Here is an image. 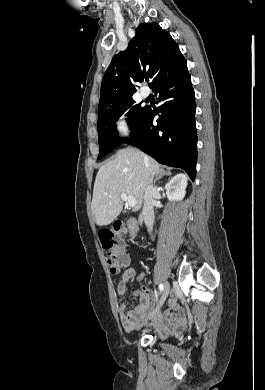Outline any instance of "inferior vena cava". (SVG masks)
<instances>
[{"label":"inferior vena cava","instance_id":"obj_1","mask_svg":"<svg viewBox=\"0 0 265 390\" xmlns=\"http://www.w3.org/2000/svg\"><path fill=\"white\" fill-rule=\"evenodd\" d=\"M155 194H156V189L153 186V178L151 177L148 180L147 186L145 188L143 209L141 213V217L144 220V223L147 226L149 233L152 232L153 224L155 220V215H154Z\"/></svg>","mask_w":265,"mask_h":390}]
</instances>
